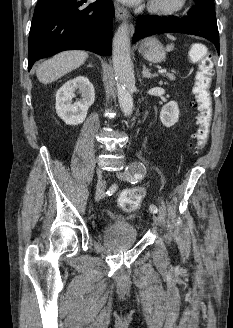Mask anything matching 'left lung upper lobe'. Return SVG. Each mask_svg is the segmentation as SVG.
I'll return each mask as SVG.
<instances>
[{"label":"left lung upper lobe","instance_id":"obj_1","mask_svg":"<svg viewBox=\"0 0 233 328\" xmlns=\"http://www.w3.org/2000/svg\"><path fill=\"white\" fill-rule=\"evenodd\" d=\"M197 5L203 8H206L210 11L214 10V1L213 0H195Z\"/></svg>","mask_w":233,"mask_h":328}]
</instances>
